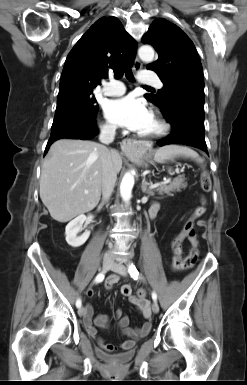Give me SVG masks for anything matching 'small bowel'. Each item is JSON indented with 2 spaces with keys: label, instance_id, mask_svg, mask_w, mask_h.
I'll return each mask as SVG.
<instances>
[{
  "label": "small bowel",
  "instance_id": "1",
  "mask_svg": "<svg viewBox=\"0 0 247 385\" xmlns=\"http://www.w3.org/2000/svg\"><path fill=\"white\" fill-rule=\"evenodd\" d=\"M159 211V205L157 203H154L150 207V217H155L156 214ZM200 216L194 212V214L191 216L189 221L187 222L185 228L187 226H192L194 221L197 220ZM186 233H182L180 237H184ZM189 241L191 242L192 246H197V239L195 236L188 237ZM173 269H184L189 267H177L174 263L172 265ZM120 280L119 275L117 274H111L108 276L105 282V287L110 290L114 287L115 284L118 283ZM127 285V284H126ZM125 286V285H123ZM121 287V291L122 288ZM130 293L124 296H127L130 300V302L136 306V308L141 312L143 317L145 318L144 324L140 328L131 327L130 326V318L127 315L123 314V311L121 309L116 310L112 314H96L94 315V309L92 305L88 304L86 305V314L83 319L84 327L86 332L91 336H97V328H107L113 321H115L116 327L126 336H128L130 339L121 343L118 348L123 351L130 350L134 344L135 341L144 337L148 334L152 327V321H151V308L149 301L145 298V292L140 291L137 295H132V288L130 285ZM88 297H93L94 292L92 290L87 291ZM98 345L107 350V351H114L116 349L115 346L110 344H105L104 340L101 337H96Z\"/></svg>",
  "mask_w": 247,
  "mask_h": 385
}]
</instances>
